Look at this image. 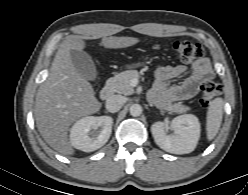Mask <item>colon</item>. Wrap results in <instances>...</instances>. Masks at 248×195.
<instances>
[{"instance_id":"1","label":"colon","mask_w":248,"mask_h":195,"mask_svg":"<svg viewBox=\"0 0 248 195\" xmlns=\"http://www.w3.org/2000/svg\"><path fill=\"white\" fill-rule=\"evenodd\" d=\"M172 49L177 59L182 63H192L204 56L205 51L201 44L188 40H176ZM221 86L218 83L207 81L201 87L200 105L207 107L209 103L220 94Z\"/></svg>"}]
</instances>
